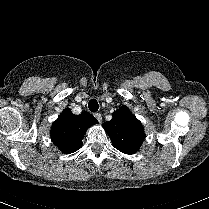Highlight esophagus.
I'll return each instance as SVG.
<instances>
[{"label": "esophagus", "mask_w": 209, "mask_h": 209, "mask_svg": "<svg viewBox=\"0 0 209 209\" xmlns=\"http://www.w3.org/2000/svg\"><path fill=\"white\" fill-rule=\"evenodd\" d=\"M94 116H95V118L97 119V121H98L99 123L102 122V116H101L100 113H95Z\"/></svg>", "instance_id": "esophagus-1"}]
</instances>
